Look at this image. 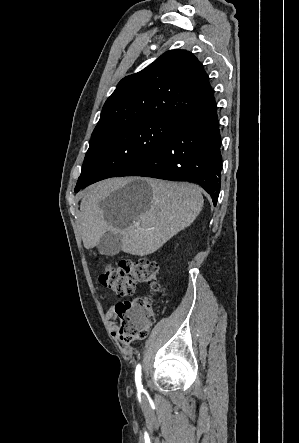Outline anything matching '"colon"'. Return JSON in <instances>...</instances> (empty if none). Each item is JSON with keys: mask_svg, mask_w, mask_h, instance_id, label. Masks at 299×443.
Instances as JSON below:
<instances>
[{"mask_svg": "<svg viewBox=\"0 0 299 443\" xmlns=\"http://www.w3.org/2000/svg\"><path fill=\"white\" fill-rule=\"evenodd\" d=\"M158 272V264L153 260H124L118 267L106 265L99 280L118 295H132L138 283H147L157 291L160 288ZM115 311L119 319V340L124 346L146 337L156 319L150 301L145 297L119 302Z\"/></svg>", "mask_w": 299, "mask_h": 443, "instance_id": "1", "label": "colon"}]
</instances>
